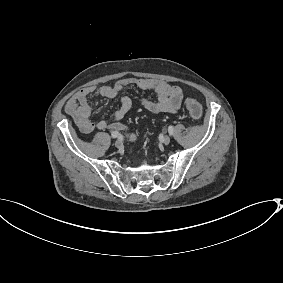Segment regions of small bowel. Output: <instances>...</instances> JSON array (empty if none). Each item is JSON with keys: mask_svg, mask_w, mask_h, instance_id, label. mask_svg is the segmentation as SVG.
Returning <instances> with one entry per match:
<instances>
[{"mask_svg": "<svg viewBox=\"0 0 283 283\" xmlns=\"http://www.w3.org/2000/svg\"><path fill=\"white\" fill-rule=\"evenodd\" d=\"M130 86H136L142 90H153L157 94V100L143 99L141 104L152 113H176L182 104L184 93L182 89L169 82L149 78H124L109 86H89L76 92L65 105V111L69 114L79 130L83 134H90L95 129L115 130L128 132V127L122 122L124 116L132 107V99L121 96L123 91ZM91 96L115 98L121 96L120 106L109 120H99L93 123L90 120L92 107L89 103ZM133 138V135H129Z\"/></svg>", "mask_w": 283, "mask_h": 283, "instance_id": "small-bowel-1", "label": "small bowel"}]
</instances>
